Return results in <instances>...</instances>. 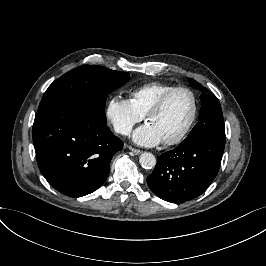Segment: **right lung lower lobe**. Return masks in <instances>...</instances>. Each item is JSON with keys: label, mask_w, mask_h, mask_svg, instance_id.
I'll return each mask as SVG.
<instances>
[{"label": "right lung lower lobe", "mask_w": 266, "mask_h": 266, "mask_svg": "<svg viewBox=\"0 0 266 266\" xmlns=\"http://www.w3.org/2000/svg\"><path fill=\"white\" fill-rule=\"evenodd\" d=\"M32 134L41 173L54 189L74 198L104 183L112 156L123 147L90 107L73 101L38 111Z\"/></svg>", "instance_id": "1"}]
</instances>
